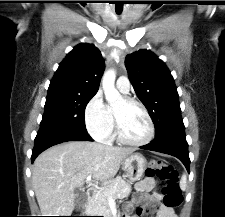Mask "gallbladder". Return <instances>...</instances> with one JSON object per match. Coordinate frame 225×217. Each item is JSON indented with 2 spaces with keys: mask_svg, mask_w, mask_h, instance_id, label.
I'll list each match as a JSON object with an SVG mask.
<instances>
[{
  "mask_svg": "<svg viewBox=\"0 0 225 217\" xmlns=\"http://www.w3.org/2000/svg\"><path fill=\"white\" fill-rule=\"evenodd\" d=\"M87 202V196L84 191L76 190L75 191V201L74 205L76 209L83 208Z\"/></svg>",
  "mask_w": 225,
  "mask_h": 217,
  "instance_id": "1",
  "label": "gallbladder"
}]
</instances>
